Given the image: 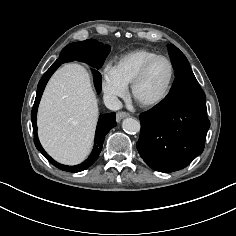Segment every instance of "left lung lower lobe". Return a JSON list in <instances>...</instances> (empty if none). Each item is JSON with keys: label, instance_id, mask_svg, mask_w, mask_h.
<instances>
[{"label": "left lung lower lobe", "instance_id": "0a47b994", "mask_svg": "<svg viewBox=\"0 0 236 236\" xmlns=\"http://www.w3.org/2000/svg\"><path fill=\"white\" fill-rule=\"evenodd\" d=\"M137 149L159 172L185 168L203 152L210 127L206 98L191 70L176 75L169 94L140 116Z\"/></svg>", "mask_w": 236, "mask_h": 236}]
</instances>
